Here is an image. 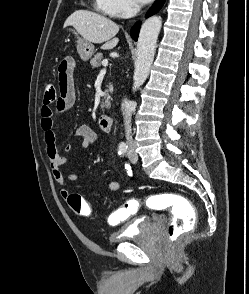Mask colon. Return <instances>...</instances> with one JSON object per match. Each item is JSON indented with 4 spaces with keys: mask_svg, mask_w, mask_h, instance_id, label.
<instances>
[{
    "mask_svg": "<svg viewBox=\"0 0 249 294\" xmlns=\"http://www.w3.org/2000/svg\"><path fill=\"white\" fill-rule=\"evenodd\" d=\"M71 69V59L65 57L58 68V71L65 75ZM59 99V91L52 83L44 86V104L50 105ZM70 208L78 216H89L90 209L86 201L79 194H70L67 198ZM138 199L126 201L120 209L119 216L124 220L134 215L139 208ZM148 207L155 209L163 206L172 207L173 217L167 226V238L171 243L176 242L183 234L191 231L196 222L195 210L190 201L176 194H163L150 196L146 199Z\"/></svg>",
    "mask_w": 249,
    "mask_h": 294,
    "instance_id": "1",
    "label": "colon"
}]
</instances>
